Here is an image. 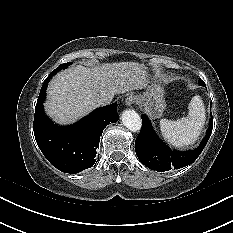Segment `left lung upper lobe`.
I'll return each mask as SVG.
<instances>
[{
    "mask_svg": "<svg viewBox=\"0 0 233 233\" xmlns=\"http://www.w3.org/2000/svg\"><path fill=\"white\" fill-rule=\"evenodd\" d=\"M198 83H199L200 86H205L206 87L205 83L202 80L199 79Z\"/></svg>",
    "mask_w": 233,
    "mask_h": 233,
    "instance_id": "5c2ea615",
    "label": "left lung upper lobe"
}]
</instances>
